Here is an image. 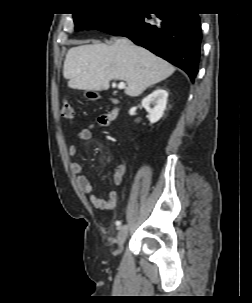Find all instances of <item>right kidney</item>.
I'll use <instances>...</instances> for the list:
<instances>
[{
	"label": "right kidney",
	"instance_id": "obj_1",
	"mask_svg": "<svg viewBox=\"0 0 252 303\" xmlns=\"http://www.w3.org/2000/svg\"><path fill=\"white\" fill-rule=\"evenodd\" d=\"M167 97L168 92L158 88L142 100V107L149 113L151 124L156 123L163 116L167 104ZM151 104H154L153 108L150 107Z\"/></svg>",
	"mask_w": 252,
	"mask_h": 303
}]
</instances>
